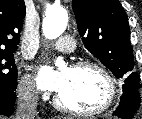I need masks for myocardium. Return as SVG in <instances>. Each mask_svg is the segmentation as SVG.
Instances as JSON below:
<instances>
[{"mask_svg":"<svg viewBox=\"0 0 142 119\" xmlns=\"http://www.w3.org/2000/svg\"><path fill=\"white\" fill-rule=\"evenodd\" d=\"M70 69L73 70H85V69H94L98 71L102 77L104 78L107 86V93L104 102L97 108L92 110H78L75 108H71L62 103L59 95H56L54 98V105L61 111L66 113L76 115V116H84V117H92L103 114L108 111L114 104L117 96V87L116 82L109 72V70L101 65L100 63L93 61H79L71 66Z\"/></svg>","mask_w":142,"mask_h":119,"instance_id":"1","label":"myocardium"}]
</instances>
